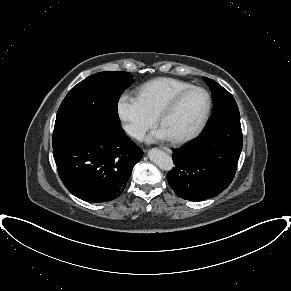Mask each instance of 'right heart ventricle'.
<instances>
[{
	"mask_svg": "<svg viewBox=\"0 0 291 291\" xmlns=\"http://www.w3.org/2000/svg\"><path fill=\"white\" fill-rule=\"evenodd\" d=\"M192 86L189 82L159 77L150 80L137 88V97L150 114L157 117L162 107L179 91Z\"/></svg>",
	"mask_w": 291,
	"mask_h": 291,
	"instance_id": "right-heart-ventricle-1",
	"label": "right heart ventricle"
}]
</instances>
